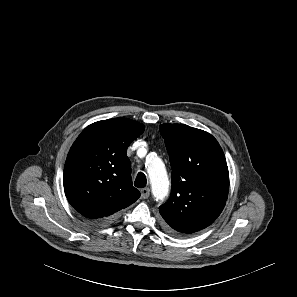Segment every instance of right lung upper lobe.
Here are the masks:
<instances>
[{"instance_id":"right-lung-upper-lobe-1","label":"right lung upper lobe","mask_w":297,"mask_h":297,"mask_svg":"<svg viewBox=\"0 0 297 297\" xmlns=\"http://www.w3.org/2000/svg\"><path fill=\"white\" fill-rule=\"evenodd\" d=\"M144 128L134 120L113 118L89 125L75 140L65 162L64 190L80 214L109 220L140 197L126 152Z\"/></svg>"}]
</instances>
